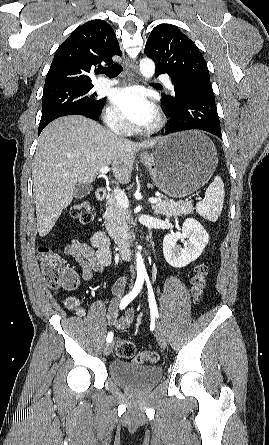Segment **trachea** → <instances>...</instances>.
<instances>
[{
	"label": "trachea",
	"instance_id": "3493384b",
	"mask_svg": "<svg viewBox=\"0 0 269 445\" xmlns=\"http://www.w3.org/2000/svg\"><path fill=\"white\" fill-rule=\"evenodd\" d=\"M123 70L122 66L118 63H115L107 68H101L98 70V73H104L110 78H114L118 76Z\"/></svg>",
	"mask_w": 269,
	"mask_h": 445
}]
</instances>
